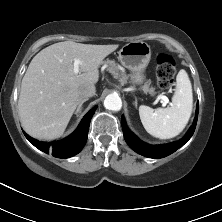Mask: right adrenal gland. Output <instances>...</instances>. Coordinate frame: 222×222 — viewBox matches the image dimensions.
Returning a JSON list of instances; mask_svg holds the SVG:
<instances>
[{
	"mask_svg": "<svg viewBox=\"0 0 222 222\" xmlns=\"http://www.w3.org/2000/svg\"><path fill=\"white\" fill-rule=\"evenodd\" d=\"M87 100H88V99H82V100L80 101V103H79V105H78V107H77V110H76L75 114H78V113L81 111L83 103L86 102Z\"/></svg>",
	"mask_w": 222,
	"mask_h": 222,
	"instance_id": "obj_1",
	"label": "right adrenal gland"
}]
</instances>
